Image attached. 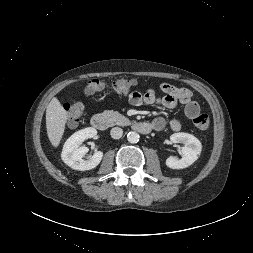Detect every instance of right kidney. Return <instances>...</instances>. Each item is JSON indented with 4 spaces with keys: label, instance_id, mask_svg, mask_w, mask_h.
Instances as JSON below:
<instances>
[{
    "label": "right kidney",
    "instance_id": "1",
    "mask_svg": "<svg viewBox=\"0 0 253 253\" xmlns=\"http://www.w3.org/2000/svg\"><path fill=\"white\" fill-rule=\"evenodd\" d=\"M97 134V130L92 127L82 129L75 132L67 139L63 146L61 158L63 162L75 170L85 171L95 168L102 160L103 152L98 151L88 160H83V157L89 151L85 146H78L88 138H93Z\"/></svg>",
    "mask_w": 253,
    "mask_h": 253
}]
</instances>
